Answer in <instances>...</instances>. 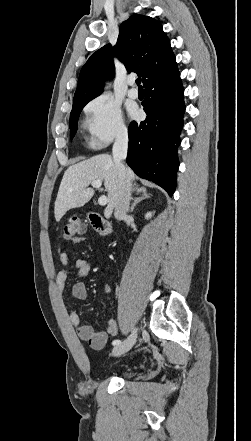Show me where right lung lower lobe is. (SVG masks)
I'll use <instances>...</instances> for the list:
<instances>
[{
    "mask_svg": "<svg viewBox=\"0 0 251 441\" xmlns=\"http://www.w3.org/2000/svg\"><path fill=\"white\" fill-rule=\"evenodd\" d=\"M146 120L130 123L127 164L141 178L153 181L170 196L179 167L177 148L183 127L184 89L177 65L144 84Z\"/></svg>",
    "mask_w": 251,
    "mask_h": 441,
    "instance_id": "1",
    "label": "right lung lower lobe"
}]
</instances>
